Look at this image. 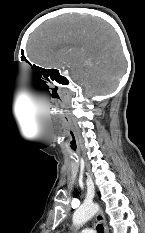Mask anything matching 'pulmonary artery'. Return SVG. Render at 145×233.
I'll return each mask as SVG.
<instances>
[{"mask_svg":"<svg viewBox=\"0 0 145 233\" xmlns=\"http://www.w3.org/2000/svg\"><path fill=\"white\" fill-rule=\"evenodd\" d=\"M81 233H95V231L92 229H84L81 231Z\"/></svg>","mask_w":145,"mask_h":233,"instance_id":"obj_1","label":"pulmonary artery"}]
</instances>
